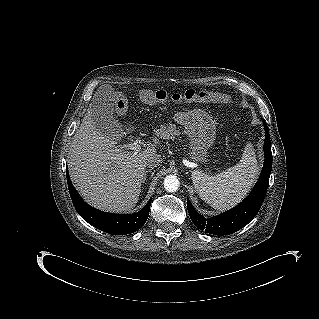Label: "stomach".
Returning a JSON list of instances; mask_svg holds the SVG:
<instances>
[{"mask_svg":"<svg viewBox=\"0 0 319 319\" xmlns=\"http://www.w3.org/2000/svg\"><path fill=\"white\" fill-rule=\"evenodd\" d=\"M189 139V157L202 163L208 157V150L214 144L216 126L212 118L203 111H194L182 121Z\"/></svg>","mask_w":319,"mask_h":319,"instance_id":"1","label":"stomach"}]
</instances>
